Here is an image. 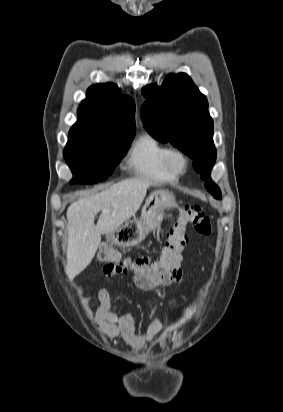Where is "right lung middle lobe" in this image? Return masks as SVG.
<instances>
[{
  "instance_id": "1",
  "label": "right lung middle lobe",
  "mask_w": 283,
  "mask_h": 412,
  "mask_svg": "<svg viewBox=\"0 0 283 412\" xmlns=\"http://www.w3.org/2000/svg\"><path fill=\"white\" fill-rule=\"evenodd\" d=\"M134 135L94 136L73 126L63 152L73 173L71 183L93 184L106 179L127 152Z\"/></svg>"
}]
</instances>
